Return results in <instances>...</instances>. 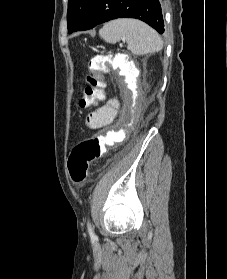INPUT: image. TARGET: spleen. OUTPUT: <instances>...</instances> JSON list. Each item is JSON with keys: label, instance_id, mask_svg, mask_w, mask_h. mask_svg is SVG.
<instances>
[{"label": "spleen", "instance_id": "obj_1", "mask_svg": "<svg viewBox=\"0 0 227 279\" xmlns=\"http://www.w3.org/2000/svg\"><path fill=\"white\" fill-rule=\"evenodd\" d=\"M99 36L108 43L125 40L128 49L136 55L159 52L163 41L147 24L135 19H117L106 23Z\"/></svg>", "mask_w": 227, "mask_h": 279}]
</instances>
